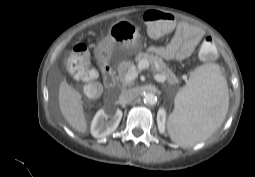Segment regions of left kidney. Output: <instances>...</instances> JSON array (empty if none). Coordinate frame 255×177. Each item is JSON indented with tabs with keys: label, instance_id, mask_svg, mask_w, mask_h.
I'll list each match as a JSON object with an SVG mask.
<instances>
[{
	"label": "left kidney",
	"instance_id": "obj_1",
	"mask_svg": "<svg viewBox=\"0 0 255 177\" xmlns=\"http://www.w3.org/2000/svg\"><path fill=\"white\" fill-rule=\"evenodd\" d=\"M157 121H158V126L162 129L165 125L166 121V112L164 109H159L158 114H157Z\"/></svg>",
	"mask_w": 255,
	"mask_h": 177
}]
</instances>
